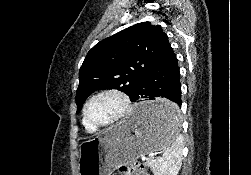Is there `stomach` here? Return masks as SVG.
Here are the masks:
<instances>
[{
  "label": "stomach",
  "mask_w": 251,
  "mask_h": 175,
  "mask_svg": "<svg viewBox=\"0 0 251 175\" xmlns=\"http://www.w3.org/2000/svg\"><path fill=\"white\" fill-rule=\"evenodd\" d=\"M174 100H142L133 113L103 133L85 139L79 145V175H111L119 165H126L140 155L168 147L174 134H182Z\"/></svg>",
  "instance_id": "stomach-1"
}]
</instances>
